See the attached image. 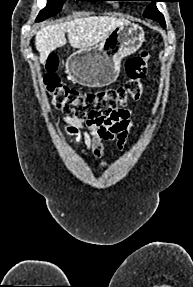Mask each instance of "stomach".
I'll return each mask as SVG.
<instances>
[{
	"label": "stomach",
	"instance_id": "stomach-1",
	"mask_svg": "<svg viewBox=\"0 0 193 287\" xmlns=\"http://www.w3.org/2000/svg\"><path fill=\"white\" fill-rule=\"evenodd\" d=\"M145 41L142 27L127 23L114 29L100 44L79 49L67 59L66 73L72 81L87 87L115 82L124 57L135 53Z\"/></svg>",
	"mask_w": 193,
	"mask_h": 287
}]
</instances>
